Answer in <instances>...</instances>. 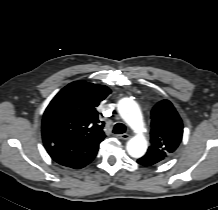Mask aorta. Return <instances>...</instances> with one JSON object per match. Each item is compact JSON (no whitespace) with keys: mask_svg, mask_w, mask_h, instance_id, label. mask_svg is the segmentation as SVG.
<instances>
[{"mask_svg":"<svg viewBox=\"0 0 218 210\" xmlns=\"http://www.w3.org/2000/svg\"><path fill=\"white\" fill-rule=\"evenodd\" d=\"M118 112L128 126L137 133L127 142L128 154L133 158L142 157L146 153L148 143L142 135L144 122L138 104L130 98H123L118 103Z\"/></svg>","mask_w":218,"mask_h":210,"instance_id":"762f6f07","label":"aorta"}]
</instances>
